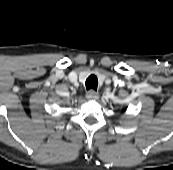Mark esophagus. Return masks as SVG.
<instances>
[{"mask_svg": "<svg viewBox=\"0 0 173 170\" xmlns=\"http://www.w3.org/2000/svg\"><path fill=\"white\" fill-rule=\"evenodd\" d=\"M86 98L88 100H97L99 98V93L91 89L86 93Z\"/></svg>", "mask_w": 173, "mask_h": 170, "instance_id": "esophagus-1", "label": "esophagus"}]
</instances>
